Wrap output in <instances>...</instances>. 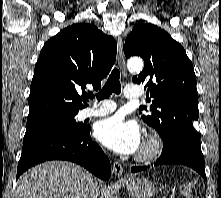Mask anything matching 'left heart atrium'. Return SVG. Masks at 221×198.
I'll return each instance as SVG.
<instances>
[{
    "mask_svg": "<svg viewBox=\"0 0 221 198\" xmlns=\"http://www.w3.org/2000/svg\"><path fill=\"white\" fill-rule=\"evenodd\" d=\"M94 133L104 146L121 154L134 153L141 143L137 123L126 121L121 115H114L99 121Z\"/></svg>",
    "mask_w": 221,
    "mask_h": 198,
    "instance_id": "39dd6f15",
    "label": "left heart atrium"
}]
</instances>
